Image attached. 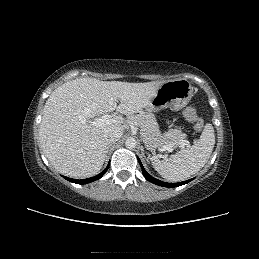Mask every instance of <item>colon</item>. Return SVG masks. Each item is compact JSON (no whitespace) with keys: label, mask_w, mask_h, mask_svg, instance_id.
<instances>
[{"label":"colon","mask_w":259,"mask_h":259,"mask_svg":"<svg viewBox=\"0 0 259 259\" xmlns=\"http://www.w3.org/2000/svg\"><path fill=\"white\" fill-rule=\"evenodd\" d=\"M184 116L187 120L193 123L194 128L198 131H201L204 127L203 120L198 117L196 110L193 107H187L184 110Z\"/></svg>","instance_id":"colon-1"}]
</instances>
